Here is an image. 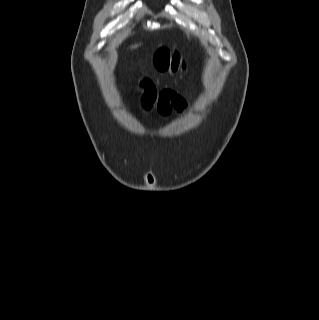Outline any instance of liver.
<instances>
[{"label":"liver","mask_w":319,"mask_h":320,"mask_svg":"<svg viewBox=\"0 0 319 320\" xmlns=\"http://www.w3.org/2000/svg\"><path fill=\"white\" fill-rule=\"evenodd\" d=\"M136 47H138V45H133L131 48H136Z\"/></svg>","instance_id":"6515ba94"}]
</instances>
